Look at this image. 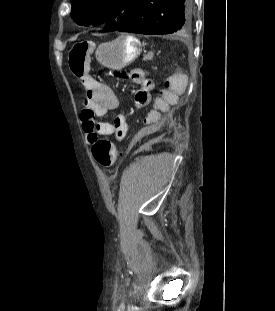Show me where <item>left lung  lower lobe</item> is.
<instances>
[{
    "mask_svg": "<svg viewBox=\"0 0 275 311\" xmlns=\"http://www.w3.org/2000/svg\"><path fill=\"white\" fill-rule=\"evenodd\" d=\"M192 0H142L135 14L114 31L147 35L183 34L192 27Z\"/></svg>",
    "mask_w": 275,
    "mask_h": 311,
    "instance_id": "obj_1",
    "label": "left lung lower lobe"
}]
</instances>
